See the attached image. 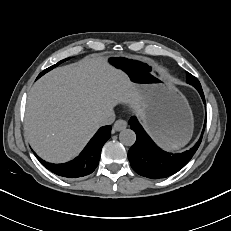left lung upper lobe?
Instances as JSON below:
<instances>
[{
    "label": "left lung upper lobe",
    "instance_id": "5c2ea615",
    "mask_svg": "<svg viewBox=\"0 0 231 231\" xmlns=\"http://www.w3.org/2000/svg\"><path fill=\"white\" fill-rule=\"evenodd\" d=\"M187 82L192 86H194L196 89H202L198 79L193 75H191L190 73H187Z\"/></svg>",
    "mask_w": 231,
    "mask_h": 231
}]
</instances>
